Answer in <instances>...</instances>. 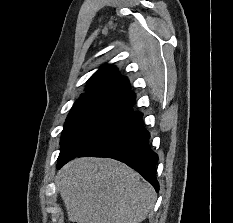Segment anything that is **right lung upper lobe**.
<instances>
[{
	"label": "right lung upper lobe",
	"mask_w": 233,
	"mask_h": 223,
	"mask_svg": "<svg viewBox=\"0 0 233 223\" xmlns=\"http://www.w3.org/2000/svg\"><path fill=\"white\" fill-rule=\"evenodd\" d=\"M129 90L130 84L128 79L120 75L116 67L106 64L88 80L86 93L82 95L102 93L124 95Z\"/></svg>",
	"instance_id": "1"
}]
</instances>
